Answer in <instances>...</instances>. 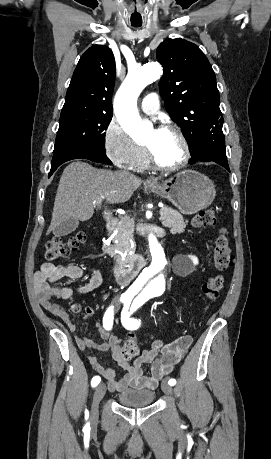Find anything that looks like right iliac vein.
I'll return each mask as SVG.
<instances>
[{"mask_svg":"<svg viewBox=\"0 0 271 459\" xmlns=\"http://www.w3.org/2000/svg\"><path fill=\"white\" fill-rule=\"evenodd\" d=\"M106 393V385L100 384L96 387L93 396V403L91 407V419L95 420L98 416V404Z\"/></svg>","mask_w":271,"mask_h":459,"instance_id":"63e3f726","label":"right iliac vein"}]
</instances>
